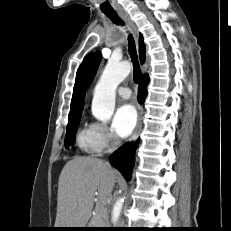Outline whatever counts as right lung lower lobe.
I'll return each mask as SVG.
<instances>
[{
	"instance_id": "1",
	"label": "right lung lower lobe",
	"mask_w": 231,
	"mask_h": 231,
	"mask_svg": "<svg viewBox=\"0 0 231 231\" xmlns=\"http://www.w3.org/2000/svg\"><path fill=\"white\" fill-rule=\"evenodd\" d=\"M149 77H142L141 83L138 88V100L143 102L147 95V84ZM138 141L135 144H125L110 156V163L113 167L118 169L126 180L130 179L132 168L135 159V150L137 148Z\"/></svg>"
}]
</instances>
